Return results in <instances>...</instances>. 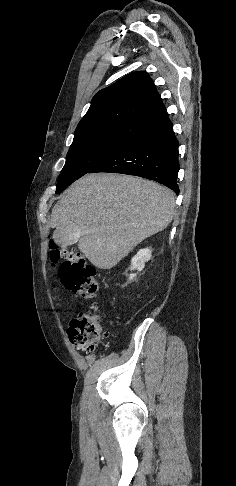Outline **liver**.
I'll return each mask as SVG.
<instances>
[{
	"mask_svg": "<svg viewBox=\"0 0 236 486\" xmlns=\"http://www.w3.org/2000/svg\"><path fill=\"white\" fill-rule=\"evenodd\" d=\"M174 209V193L153 181L87 174L54 205L49 225L73 224L79 250L97 268L111 269L144 239L164 230Z\"/></svg>",
	"mask_w": 236,
	"mask_h": 486,
	"instance_id": "obj_1",
	"label": "liver"
}]
</instances>
